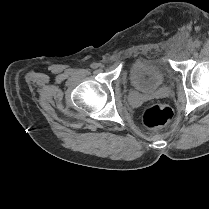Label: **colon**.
<instances>
[{
  "label": "colon",
  "instance_id": "5ec220e1",
  "mask_svg": "<svg viewBox=\"0 0 209 209\" xmlns=\"http://www.w3.org/2000/svg\"><path fill=\"white\" fill-rule=\"evenodd\" d=\"M173 117V111L165 105L148 106L142 115L145 126L149 128H158L168 124Z\"/></svg>",
  "mask_w": 209,
  "mask_h": 209
}]
</instances>
